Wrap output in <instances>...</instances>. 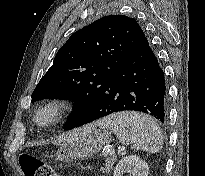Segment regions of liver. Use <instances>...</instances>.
Masks as SVG:
<instances>
[{
  "mask_svg": "<svg viewBox=\"0 0 205 176\" xmlns=\"http://www.w3.org/2000/svg\"><path fill=\"white\" fill-rule=\"evenodd\" d=\"M87 129V126H84L82 128H78V129H74L64 135H62L61 137H59V139L55 142L57 145H66L71 143L72 141L78 139L83 131H85Z\"/></svg>",
  "mask_w": 205,
  "mask_h": 176,
  "instance_id": "liver-1",
  "label": "liver"
}]
</instances>
